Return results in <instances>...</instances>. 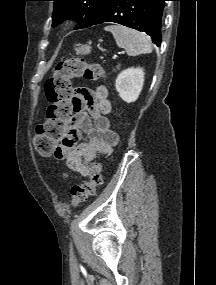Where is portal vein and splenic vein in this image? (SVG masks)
<instances>
[{
	"mask_svg": "<svg viewBox=\"0 0 216 285\" xmlns=\"http://www.w3.org/2000/svg\"><path fill=\"white\" fill-rule=\"evenodd\" d=\"M120 53H124V52H120ZM117 56H114L113 59H115Z\"/></svg>",
	"mask_w": 216,
	"mask_h": 285,
	"instance_id": "portal-vein-and-splenic-vein-1",
	"label": "portal vein and splenic vein"
}]
</instances>
